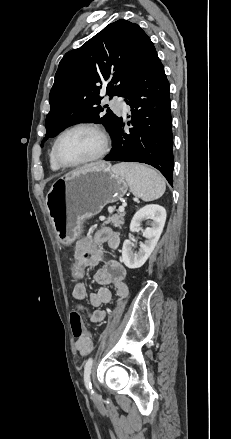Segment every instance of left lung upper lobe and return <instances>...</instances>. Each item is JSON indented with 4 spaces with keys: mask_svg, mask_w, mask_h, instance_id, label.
Returning <instances> with one entry per match:
<instances>
[{
    "mask_svg": "<svg viewBox=\"0 0 231 439\" xmlns=\"http://www.w3.org/2000/svg\"><path fill=\"white\" fill-rule=\"evenodd\" d=\"M153 43L135 23L120 19L106 26L60 61L50 91V112L41 143L67 127L81 122L102 123L111 137L119 117L101 106L100 92L123 96L140 72Z\"/></svg>",
    "mask_w": 231,
    "mask_h": 439,
    "instance_id": "1",
    "label": "left lung upper lobe"
}]
</instances>
